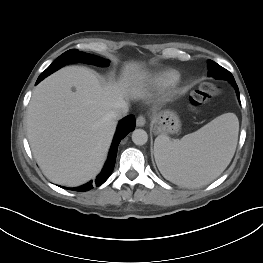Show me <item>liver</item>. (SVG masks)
Returning a JSON list of instances; mask_svg holds the SVG:
<instances>
[{"mask_svg": "<svg viewBox=\"0 0 263 263\" xmlns=\"http://www.w3.org/2000/svg\"><path fill=\"white\" fill-rule=\"evenodd\" d=\"M140 70L138 63H128L121 82L103 86L92 70L70 66L35 88L26 115L27 136L50 181L79 186L101 171L117 126L110 114L130 95L140 96Z\"/></svg>", "mask_w": 263, "mask_h": 263, "instance_id": "liver-1", "label": "liver"}]
</instances>
